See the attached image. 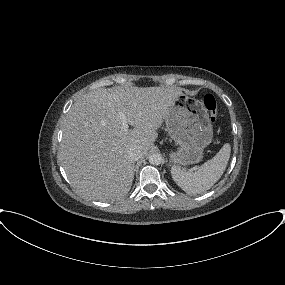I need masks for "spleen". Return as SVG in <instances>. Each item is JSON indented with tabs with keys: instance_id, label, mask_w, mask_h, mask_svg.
I'll return each instance as SVG.
<instances>
[{
	"instance_id": "obj_1",
	"label": "spleen",
	"mask_w": 285,
	"mask_h": 285,
	"mask_svg": "<svg viewBox=\"0 0 285 285\" xmlns=\"http://www.w3.org/2000/svg\"><path fill=\"white\" fill-rule=\"evenodd\" d=\"M230 152V144H224L211 160L205 162L195 172L173 166L171 168L172 178L187 194L194 195L205 192L221 178L229 161Z\"/></svg>"
}]
</instances>
